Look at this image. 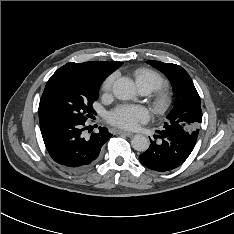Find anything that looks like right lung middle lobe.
I'll use <instances>...</instances> for the list:
<instances>
[{
  "mask_svg": "<svg viewBox=\"0 0 234 234\" xmlns=\"http://www.w3.org/2000/svg\"><path fill=\"white\" fill-rule=\"evenodd\" d=\"M101 82L58 69L47 81L39 104V121L51 118L86 120L95 113Z\"/></svg>",
  "mask_w": 234,
  "mask_h": 234,
  "instance_id": "obj_1",
  "label": "right lung middle lobe"
}]
</instances>
